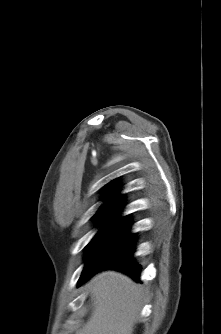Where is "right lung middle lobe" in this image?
<instances>
[{
  "mask_svg": "<svg viewBox=\"0 0 221 334\" xmlns=\"http://www.w3.org/2000/svg\"><path fill=\"white\" fill-rule=\"evenodd\" d=\"M97 218L100 223L104 224V227L87 247L86 264L80 281L95 270L107 265L134 240V234L129 233L131 223L128 216L116 220H113V216Z\"/></svg>",
  "mask_w": 221,
  "mask_h": 334,
  "instance_id": "dd1d6c3e",
  "label": "right lung middle lobe"
}]
</instances>
